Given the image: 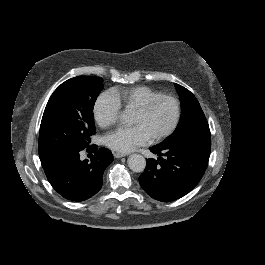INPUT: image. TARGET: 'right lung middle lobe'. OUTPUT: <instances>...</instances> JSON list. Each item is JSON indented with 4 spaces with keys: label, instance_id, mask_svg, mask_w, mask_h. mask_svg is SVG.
Instances as JSON below:
<instances>
[{
    "label": "right lung middle lobe",
    "instance_id": "right-lung-middle-lobe-1",
    "mask_svg": "<svg viewBox=\"0 0 265 265\" xmlns=\"http://www.w3.org/2000/svg\"><path fill=\"white\" fill-rule=\"evenodd\" d=\"M102 82L100 77L78 76L54 91L40 125V158L54 151L72 153L89 147L96 131L93 107Z\"/></svg>",
    "mask_w": 265,
    "mask_h": 265
}]
</instances>
